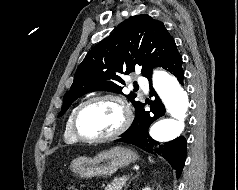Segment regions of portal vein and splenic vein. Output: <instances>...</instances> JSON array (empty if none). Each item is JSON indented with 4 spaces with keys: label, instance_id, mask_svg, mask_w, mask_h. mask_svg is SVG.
<instances>
[{
    "label": "portal vein and splenic vein",
    "instance_id": "obj_1",
    "mask_svg": "<svg viewBox=\"0 0 238 190\" xmlns=\"http://www.w3.org/2000/svg\"><path fill=\"white\" fill-rule=\"evenodd\" d=\"M125 179H127V177H126V176H123V177L121 178V180H125Z\"/></svg>",
    "mask_w": 238,
    "mask_h": 190
}]
</instances>
